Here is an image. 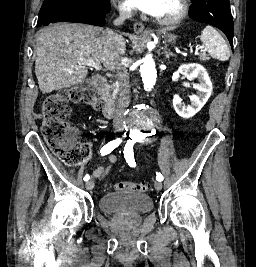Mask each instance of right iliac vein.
Returning a JSON list of instances; mask_svg holds the SVG:
<instances>
[{"instance_id":"obj_1","label":"right iliac vein","mask_w":256,"mask_h":267,"mask_svg":"<svg viewBox=\"0 0 256 267\" xmlns=\"http://www.w3.org/2000/svg\"><path fill=\"white\" fill-rule=\"evenodd\" d=\"M85 186H86L87 190H89V191L92 190L94 188V181L90 180V181L86 182Z\"/></svg>"}]
</instances>
